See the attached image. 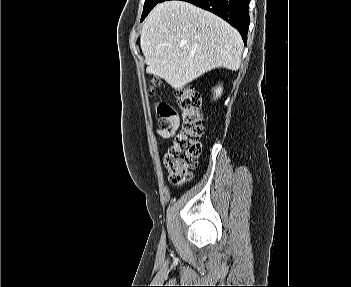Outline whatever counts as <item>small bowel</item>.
<instances>
[{
	"label": "small bowel",
	"instance_id": "1",
	"mask_svg": "<svg viewBox=\"0 0 351 287\" xmlns=\"http://www.w3.org/2000/svg\"><path fill=\"white\" fill-rule=\"evenodd\" d=\"M179 123V118L175 116L168 128L158 129L156 133L164 139L172 138L179 128Z\"/></svg>",
	"mask_w": 351,
	"mask_h": 287
}]
</instances>
